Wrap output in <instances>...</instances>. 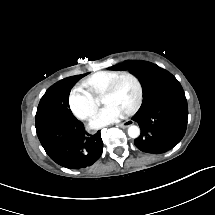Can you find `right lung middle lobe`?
<instances>
[{
    "label": "right lung middle lobe",
    "instance_id": "right-lung-middle-lobe-1",
    "mask_svg": "<svg viewBox=\"0 0 215 215\" xmlns=\"http://www.w3.org/2000/svg\"><path fill=\"white\" fill-rule=\"evenodd\" d=\"M83 76L85 74L65 78L46 91L37 108L36 126L55 122H78L69 109V93Z\"/></svg>",
    "mask_w": 215,
    "mask_h": 215
}]
</instances>
